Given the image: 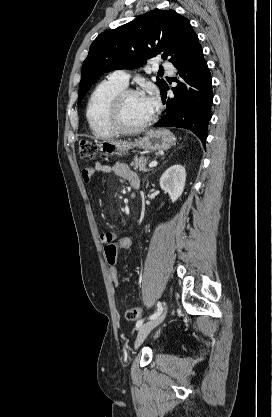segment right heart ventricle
I'll return each instance as SVG.
<instances>
[{"label":"right heart ventricle","instance_id":"e07e8e85","mask_svg":"<svg viewBox=\"0 0 272 417\" xmlns=\"http://www.w3.org/2000/svg\"><path fill=\"white\" fill-rule=\"evenodd\" d=\"M124 89L125 86L108 77L92 91L87 102L86 118L97 137L110 138L115 135L116 132L108 123V110L113 98Z\"/></svg>","mask_w":272,"mask_h":417}]
</instances>
